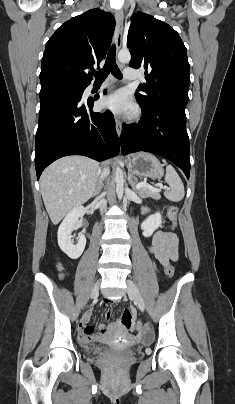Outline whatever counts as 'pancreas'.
I'll use <instances>...</instances> for the list:
<instances>
[{
  "label": "pancreas",
  "mask_w": 235,
  "mask_h": 404,
  "mask_svg": "<svg viewBox=\"0 0 235 404\" xmlns=\"http://www.w3.org/2000/svg\"><path fill=\"white\" fill-rule=\"evenodd\" d=\"M136 183H137V181H136ZM138 194H139L142 198L151 197V198L156 199V200H158V199L161 198V195H160L159 192L151 191L150 189L145 188V187L140 188V189L138 190Z\"/></svg>",
  "instance_id": "obj_1"
}]
</instances>
